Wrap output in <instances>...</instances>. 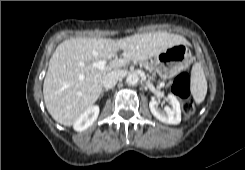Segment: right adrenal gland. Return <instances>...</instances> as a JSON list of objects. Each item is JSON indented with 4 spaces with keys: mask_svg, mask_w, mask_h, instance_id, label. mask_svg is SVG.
Wrapping results in <instances>:
<instances>
[{
    "mask_svg": "<svg viewBox=\"0 0 245 170\" xmlns=\"http://www.w3.org/2000/svg\"><path fill=\"white\" fill-rule=\"evenodd\" d=\"M104 91H108V89L103 90V91H102V94L104 93Z\"/></svg>",
    "mask_w": 245,
    "mask_h": 170,
    "instance_id": "2a0ac1e0",
    "label": "right adrenal gland"
}]
</instances>
